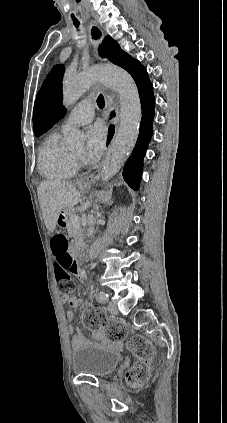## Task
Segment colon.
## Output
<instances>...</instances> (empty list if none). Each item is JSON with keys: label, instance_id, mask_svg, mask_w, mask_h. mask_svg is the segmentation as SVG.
<instances>
[{"label": "colon", "instance_id": "5ec220e1", "mask_svg": "<svg viewBox=\"0 0 227 423\" xmlns=\"http://www.w3.org/2000/svg\"><path fill=\"white\" fill-rule=\"evenodd\" d=\"M51 249L55 257V274L62 295H70L75 287L74 274L76 261L73 258L67 237L62 233L55 234L51 239ZM82 322L85 327L93 330H103L114 338L120 339L126 336V326L119 322L107 320L101 310L95 306L88 307L82 314ZM128 349L138 359L128 374L129 381L134 385L143 383L149 375L148 364L152 354L150 343L141 336H132L127 342Z\"/></svg>", "mask_w": 227, "mask_h": 423}]
</instances>
